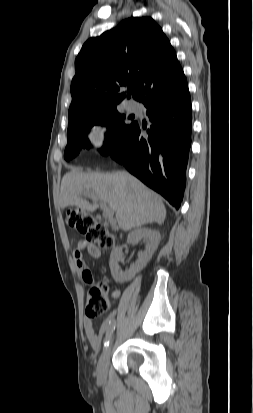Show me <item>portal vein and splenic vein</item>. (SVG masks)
Wrapping results in <instances>:
<instances>
[{"label": "portal vein and splenic vein", "instance_id": "1", "mask_svg": "<svg viewBox=\"0 0 253 413\" xmlns=\"http://www.w3.org/2000/svg\"><path fill=\"white\" fill-rule=\"evenodd\" d=\"M85 196L91 198L94 201H99L100 206L103 209V215L106 218H111L113 216V212L107 207L106 203L103 202L102 200H99V198L96 196V194L92 191H87L84 193Z\"/></svg>", "mask_w": 253, "mask_h": 413}]
</instances>
